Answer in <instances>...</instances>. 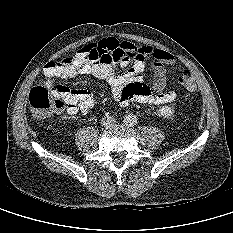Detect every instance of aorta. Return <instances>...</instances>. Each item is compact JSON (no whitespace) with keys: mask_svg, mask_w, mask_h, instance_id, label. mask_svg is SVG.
<instances>
[{"mask_svg":"<svg viewBox=\"0 0 233 233\" xmlns=\"http://www.w3.org/2000/svg\"><path fill=\"white\" fill-rule=\"evenodd\" d=\"M123 122L128 126H133L137 123V117L134 114H127L124 117Z\"/></svg>","mask_w":233,"mask_h":233,"instance_id":"1","label":"aorta"}]
</instances>
